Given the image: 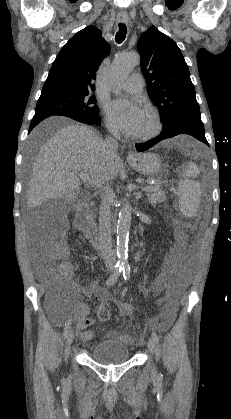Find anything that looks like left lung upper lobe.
Listing matches in <instances>:
<instances>
[{
  "label": "left lung upper lobe",
  "instance_id": "1",
  "mask_svg": "<svg viewBox=\"0 0 231 419\" xmlns=\"http://www.w3.org/2000/svg\"><path fill=\"white\" fill-rule=\"evenodd\" d=\"M137 48L147 91L160 110L163 129L186 117H200L189 69L177 44L152 26L141 35Z\"/></svg>",
  "mask_w": 231,
  "mask_h": 419
}]
</instances>
